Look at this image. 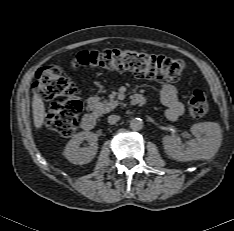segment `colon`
Wrapping results in <instances>:
<instances>
[{
    "mask_svg": "<svg viewBox=\"0 0 234 231\" xmlns=\"http://www.w3.org/2000/svg\"><path fill=\"white\" fill-rule=\"evenodd\" d=\"M72 66L131 71L139 78L167 83L179 80L185 69V62L180 58L152 55L142 51L111 49L80 52L73 58ZM34 89L44 98L55 100L47 113L46 126L61 136H73L82 109L81 102L76 98V85L62 76L55 66H46L38 70ZM187 111L193 119H200L207 114L208 101L204 92H192Z\"/></svg>",
    "mask_w": 234,
    "mask_h": 231,
    "instance_id": "obj_1",
    "label": "colon"
}]
</instances>
